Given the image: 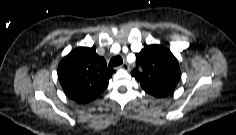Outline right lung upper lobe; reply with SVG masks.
Returning <instances> with one entry per match:
<instances>
[{"mask_svg": "<svg viewBox=\"0 0 236 135\" xmlns=\"http://www.w3.org/2000/svg\"><path fill=\"white\" fill-rule=\"evenodd\" d=\"M95 50V47H78L58 66V78L65 94L78 103H88L101 94L114 72Z\"/></svg>", "mask_w": 236, "mask_h": 135, "instance_id": "1", "label": "right lung upper lobe"}]
</instances>
